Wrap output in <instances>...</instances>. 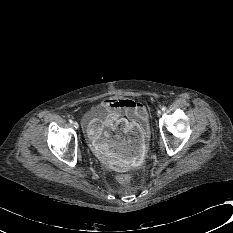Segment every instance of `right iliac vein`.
<instances>
[{
  "label": "right iliac vein",
  "mask_w": 233,
  "mask_h": 233,
  "mask_svg": "<svg viewBox=\"0 0 233 233\" xmlns=\"http://www.w3.org/2000/svg\"><path fill=\"white\" fill-rule=\"evenodd\" d=\"M73 127H74L75 129H78V128H79L78 123H77V122H73Z\"/></svg>",
  "instance_id": "right-iliac-vein-1"
}]
</instances>
